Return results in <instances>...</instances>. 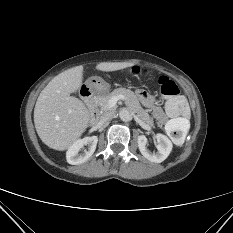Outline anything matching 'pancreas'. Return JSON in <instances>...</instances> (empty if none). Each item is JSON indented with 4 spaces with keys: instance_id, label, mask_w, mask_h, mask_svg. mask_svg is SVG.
<instances>
[{
    "instance_id": "cf45deb5",
    "label": "pancreas",
    "mask_w": 233,
    "mask_h": 233,
    "mask_svg": "<svg viewBox=\"0 0 233 233\" xmlns=\"http://www.w3.org/2000/svg\"><path fill=\"white\" fill-rule=\"evenodd\" d=\"M123 95L126 98V104L127 106L134 112L136 115L144 122H146L149 125H153V118L147 113L146 110H144L135 93L129 89L124 88H118L113 90L111 93L103 96H99L96 99L97 105L100 107L101 111H107L110 110L108 108V102L109 100L114 96ZM112 109V108H111Z\"/></svg>"
}]
</instances>
